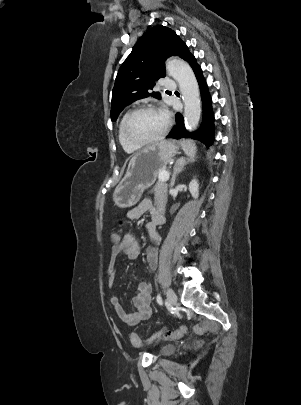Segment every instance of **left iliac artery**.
<instances>
[{"mask_svg": "<svg viewBox=\"0 0 301 405\" xmlns=\"http://www.w3.org/2000/svg\"><path fill=\"white\" fill-rule=\"evenodd\" d=\"M156 301H157V303H158L159 305H162V304H163V301H162V298H161V295H160V294L157 295Z\"/></svg>", "mask_w": 301, "mask_h": 405, "instance_id": "obj_1", "label": "left iliac artery"}]
</instances>
